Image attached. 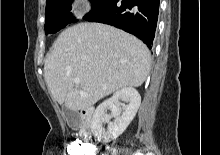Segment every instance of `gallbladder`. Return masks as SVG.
<instances>
[{"label": "gallbladder", "instance_id": "obj_1", "mask_svg": "<svg viewBox=\"0 0 220 155\" xmlns=\"http://www.w3.org/2000/svg\"><path fill=\"white\" fill-rule=\"evenodd\" d=\"M65 118L72 129H77L80 123V116L75 111H72L66 107L63 108Z\"/></svg>", "mask_w": 220, "mask_h": 155}]
</instances>
